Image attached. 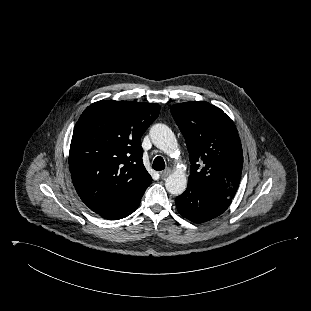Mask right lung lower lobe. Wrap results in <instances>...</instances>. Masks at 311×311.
I'll use <instances>...</instances> for the list:
<instances>
[{
	"label": "right lung lower lobe",
	"mask_w": 311,
	"mask_h": 311,
	"mask_svg": "<svg viewBox=\"0 0 311 311\" xmlns=\"http://www.w3.org/2000/svg\"><path fill=\"white\" fill-rule=\"evenodd\" d=\"M140 201H141V199L139 201H137L129 209L124 210V211H120V212H99V211H94V212L97 213L98 215H100L102 218H105L108 220H118V219L127 217L129 214L134 212L138 208Z\"/></svg>",
	"instance_id": "obj_1"
}]
</instances>
